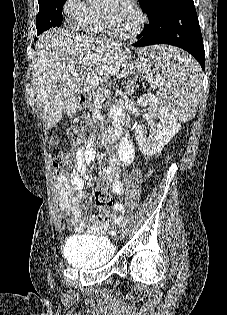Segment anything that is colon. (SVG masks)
<instances>
[{
  "label": "colon",
  "instance_id": "5ec220e1",
  "mask_svg": "<svg viewBox=\"0 0 227 315\" xmlns=\"http://www.w3.org/2000/svg\"><path fill=\"white\" fill-rule=\"evenodd\" d=\"M87 133L83 127H73L67 133V138L72 148H79L86 142ZM51 144L56 145L57 139L52 138ZM73 164V156L70 152H61L57 154L51 164V169L55 174L68 172ZM95 201L98 207V215L105 218L109 214V210L113 205V199L106 187H99L95 194ZM112 232H114L112 230Z\"/></svg>",
  "mask_w": 227,
  "mask_h": 315
}]
</instances>
